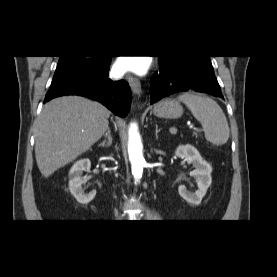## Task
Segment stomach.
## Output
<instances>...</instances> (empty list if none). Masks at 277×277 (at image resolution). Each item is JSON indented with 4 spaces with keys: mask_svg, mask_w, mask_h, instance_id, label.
Listing matches in <instances>:
<instances>
[{
    "mask_svg": "<svg viewBox=\"0 0 277 277\" xmlns=\"http://www.w3.org/2000/svg\"><path fill=\"white\" fill-rule=\"evenodd\" d=\"M153 113L157 117L176 119L182 116L183 107L174 99H165L154 106Z\"/></svg>",
    "mask_w": 277,
    "mask_h": 277,
    "instance_id": "stomach-1",
    "label": "stomach"
}]
</instances>
